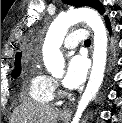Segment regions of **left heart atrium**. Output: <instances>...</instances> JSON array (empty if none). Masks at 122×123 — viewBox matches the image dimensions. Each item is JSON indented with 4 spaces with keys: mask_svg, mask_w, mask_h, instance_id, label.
<instances>
[{
    "mask_svg": "<svg viewBox=\"0 0 122 123\" xmlns=\"http://www.w3.org/2000/svg\"><path fill=\"white\" fill-rule=\"evenodd\" d=\"M88 71L87 61L82 55L72 56L67 65L63 84L68 89L80 87L86 79Z\"/></svg>",
    "mask_w": 122,
    "mask_h": 123,
    "instance_id": "1",
    "label": "left heart atrium"
}]
</instances>
